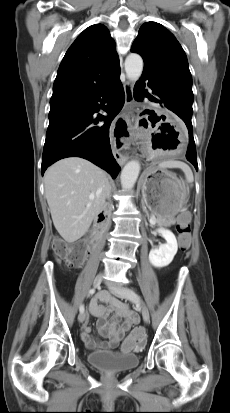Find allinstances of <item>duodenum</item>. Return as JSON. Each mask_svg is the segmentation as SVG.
<instances>
[{
    "label": "duodenum",
    "instance_id": "obj_1",
    "mask_svg": "<svg viewBox=\"0 0 230 413\" xmlns=\"http://www.w3.org/2000/svg\"><path fill=\"white\" fill-rule=\"evenodd\" d=\"M108 216L106 214L105 211H101L96 219V226L98 229L102 228V226L105 224V222L107 221Z\"/></svg>",
    "mask_w": 230,
    "mask_h": 413
}]
</instances>
